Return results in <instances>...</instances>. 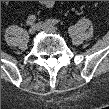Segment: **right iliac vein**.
<instances>
[{
	"mask_svg": "<svg viewBox=\"0 0 109 109\" xmlns=\"http://www.w3.org/2000/svg\"><path fill=\"white\" fill-rule=\"evenodd\" d=\"M38 30L37 26L33 25L29 28V33L34 34Z\"/></svg>",
	"mask_w": 109,
	"mask_h": 109,
	"instance_id": "obj_1",
	"label": "right iliac vein"
}]
</instances>
